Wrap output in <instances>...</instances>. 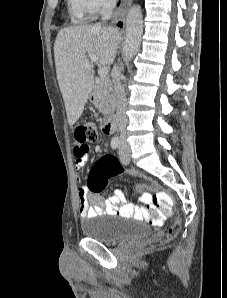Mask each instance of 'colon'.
Returning a JSON list of instances; mask_svg holds the SVG:
<instances>
[{
    "label": "colon",
    "instance_id": "obj_1",
    "mask_svg": "<svg viewBox=\"0 0 227 298\" xmlns=\"http://www.w3.org/2000/svg\"><path fill=\"white\" fill-rule=\"evenodd\" d=\"M98 138L97 126L92 122H87L77 126L74 130V142H95ZM123 171L117 160L111 156H104L94 163L88 177V188L91 192H102L109 179L120 174ZM139 189L150 190L154 193L153 206L156 217L152 219L155 224H160L163 220L162 215H170L172 213L170 205V197L160 192L159 185L151 180H143V183L138 185ZM181 222L176 219L167 231V239H174L180 230Z\"/></svg>",
    "mask_w": 227,
    "mask_h": 298
}]
</instances>
